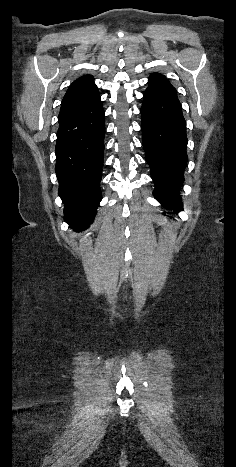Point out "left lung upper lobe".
<instances>
[{
  "label": "left lung upper lobe",
  "mask_w": 236,
  "mask_h": 467,
  "mask_svg": "<svg viewBox=\"0 0 236 467\" xmlns=\"http://www.w3.org/2000/svg\"><path fill=\"white\" fill-rule=\"evenodd\" d=\"M148 83V88L176 92V89L170 84L167 78L164 75L158 73H152Z\"/></svg>",
  "instance_id": "obj_1"
}]
</instances>
